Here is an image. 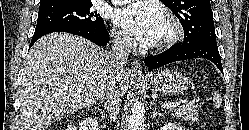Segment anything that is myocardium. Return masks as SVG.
Listing matches in <instances>:
<instances>
[{
    "label": "myocardium",
    "mask_w": 249,
    "mask_h": 130,
    "mask_svg": "<svg viewBox=\"0 0 249 130\" xmlns=\"http://www.w3.org/2000/svg\"><path fill=\"white\" fill-rule=\"evenodd\" d=\"M165 22L169 27V34L164 39L158 41L155 45V49L159 51L174 46L184 37V28L178 18L168 16L165 19Z\"/></svg>",
    "instance_id": "obj_1"
}]
</instances>
